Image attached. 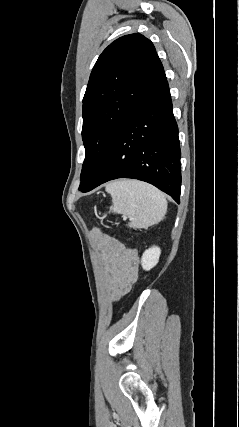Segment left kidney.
<instances>
[{"label":"left kidney","instance_id":"5707ae66","mask_svg":"<svg viewBox=\"0 0 239 427\" xmlns=\"http://www.w3.org/2000/svg\"><path fill=\"white\" fill-rule=\"evenodd\" d=\"M161 250L157 246H153L147 249L141 258V265L144 270L148 271L152 269L159 261Z\"/></svg>","mask_w":239,"mask_h":427}]
</instances>
